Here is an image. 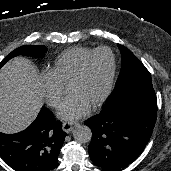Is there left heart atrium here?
<instances>
[{
  "mask_svg": "<svg viewBox=\"0 0 171 171\" xmlns=\"http://www.w3.org/2000/svg\"><path fill=\"white\" fill-rule=\"evenodd\" d=\"M90 106L78 94H69L61 103L58 116L64 120H76L89 112Z\"/></svg>",
  "mask_w": 171,
  "mask_h": 171,
  "instance_id": "39dd6f15",
  "label": "left heart atrium"
}]
</instances>
